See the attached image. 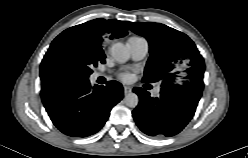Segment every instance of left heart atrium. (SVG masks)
<instances>
[{"instance_id":"obj_1","label":"left heart atrium","mask_w":248,"mask_h":158,"mask_svg":"<svg viewBox=\"0 0 248 158\" xmlns=\"http://www.w3.org/2000/svg\"><path fill=\"white\" fill-rule=\"evenodd\" d=\"M120 77H121L122 80L127 81V80H129L130 75L127 74V73H123V74L120 75Z\"/></svg>"}]
</instances>
